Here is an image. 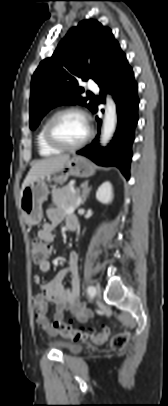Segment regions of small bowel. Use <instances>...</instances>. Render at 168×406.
Returning <instances> with one entry per match:
<instances>
[{
    "label": "small bowel",
    "mask_w": 168,
    "mask_h": 406,
    "mask_svg": "<svg viewBox=\"0 0 168 406\" xmlns=\"http://www.w3.org/2000/svg\"><path fill=\"white\" fill-rule=\"evenodd\" d=\"M48 222L44 223L37 232L40 240L50 243L54 240V230L65 220L68 227L69 222L77 221L72 213L65 212L56 206H50L46 211ZM78 222V221H77ZM79 255L73 251L69 254L67 266L57 272L54 278L42 283L41 276L35 274L32 281L40 286V292L34 297L35 318L40 327L51 335H56L57 331L52 322L47 317L48 304H55L54 321H62L64 311H68L75 319L80 322L86 321L92 313L87 305L80 300V279L78 273ZM51 269L50 261L40 265L42 272H48ZM69 275V286L63 285L64 278Z\"/></svg>",
    "instance_id": "1"
}]
</instances>
